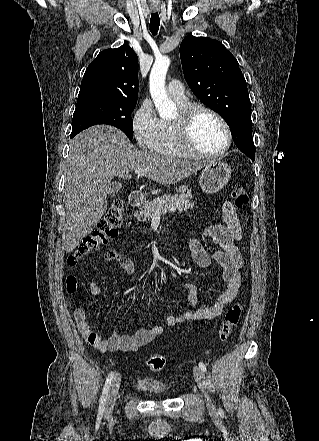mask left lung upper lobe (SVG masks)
<instances>
[{
    "label": "left lung upper lobe",
    "instance_id": "1",
    "mask_svg": "<svg viewBox=\"0 0 319 441\" xmlns=\"http://www.w3.org/2000/svg\"><path fill=\"white\" fill-rule=\"evenodd\" d=\"M180 58L194 94L227 122L238 149L254 160L250 99L236 58L221 42L193 35L183 39Z\"/></svg>",
    "mask_w": 319,
    "mask_h": 441
}]
</instances>
